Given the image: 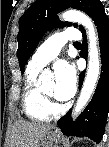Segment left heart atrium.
<instances>
[{
	"instance_id": "left-heart-atrium-1",
	"label": "left heart atrium",
	"mask_w": 109,
	"mask_h": 147,
	"mask_svg": "<svg viewBox=\"0 0 109 147\" xmlns=\"http://www.w3.org/2000/svg\"><path fill=\"white\" fill-rule=\"evenodd\" d=\"M55 85L53 95L61 101L70 99L77 84L76 69L73 64L67 61H59L54 68Z\"/></svg>"
}]
</instances>
